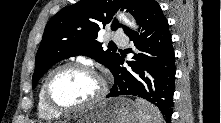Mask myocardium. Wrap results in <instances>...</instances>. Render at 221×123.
<instances>
[{
  "mask_svg": "<svg viewBox=\"0 0 221 123\" xmlns=\"http://www.w3.org/2000/svg\"><path fill=\"white\" fill-rule=\"evenodd\" d=\"M68 68L82 69L99 78L100 83H101V88H100L99 93L92 100L82 103V104L69 105V106L59 104L58 102L54 100L50 91L52 80L58 72L68 69ZM107 93H108V85L104 76L101 73H99L91 64L79 62V61H69V62H65L63 64L58 65L57 67H55L48 73L43 83V96H44L45 102L51 109L59 113H70V112H77V111L91 109L97 106L98 104H100L105 99Z\"/></svg>",
  "mask_w": 221,
  "mask_h": 123,
  "instance_id": "f54148a6",
  "label": "myocardium"
}]
</instances>
